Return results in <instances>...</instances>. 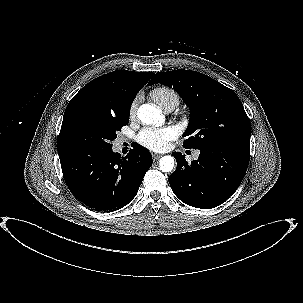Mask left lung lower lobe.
<instances>
[{"label":"left lung lower lobe","mask_w":303,"mask_h":303,"mask_svg":"<svg viewBox=\"0 0 303 303\" xmlns=\"http://www.w3.org/2000/svg\"><path fill=\"white\" fill-rule=\"evenodd\" d=\"M198 160L188 163L173 153L177 161L169 176L174 194L185 204L201 209L225 202L242 182L250 160V145L214 143L199 148Z\"/></svg>","instance_id":"0a47b994"}]
</instances>
